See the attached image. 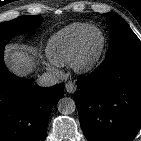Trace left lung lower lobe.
<instances>
[{"label": "left lung lower lobe", "instance_id": "0a47b994", "mask_svg": "<svg viewBox=\"0 0 141 141\" xmlns=\"http://www.w3.org/2000/svg\"><path fill=\"white\" fill-rule=\"evenodd\" d=\"M73 98L89 141H132L141 127V54L105 59Z\"/></svg>", "mask_w": 141, "mask_h": 141}]
</instances>
